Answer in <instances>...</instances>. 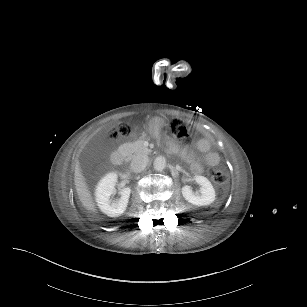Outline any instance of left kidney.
<instances>
[{
	"mask_svg": "<svg viewBox=\"0 0 307 307\" xmlns=\"http://www.w3.org/2000/svg\"><path fill=\"white\" fill-rule=\"evenodd\" d=\"M193 180L200 186L198 192H193L189 186L181 189L183 198L194 206H209L216 200L215 189L208 178L194 175Z\"/></svg>",
	"mask_w": 307,
	"mask_h": 307,
	"instance_id": "5707ae66",
	"label": "left kidney"
}]
</instances>
